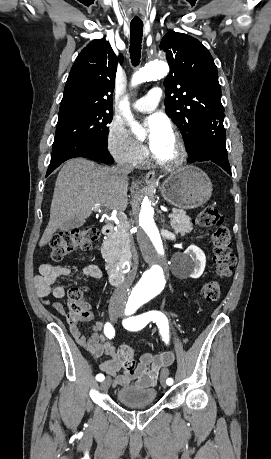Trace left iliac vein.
<instances>
[{"label":"left iliac vein","instance_id":"obj_1","mask_svg":"<svg viewBox=\"0 0 271 459\" xmlns=\"http://www.w3.org/2000/svg\"><path fill=\"white\" fill-rule=\"evenodd\" d=\"M168 375H169L168 370L167 369H162L161 375H160V382H161L163 387L167 386L165 381H166Z\"/></svg>","mask_w":271,"mask_h":459}]
</instances>
